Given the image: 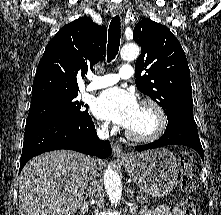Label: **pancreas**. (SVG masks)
Returning a JSON list of instances; mask_svg holds the SVG:
<instances>
[{"mask_svg": "<svg viewBox=\"0 0 221 215\" xmlns=\"http://www.w3.org/2000/svg\"><path fill=\"white\" fill-rule=\"evenodd\" d=\"M138 201L140 202L141 205L147 206L150 204L151 200L148 196L141 195Z\"/></svg>", "mask_w": 221, "mask_h": 215, "instance_id": "1", "label": "pancreas"}]
</instances>
